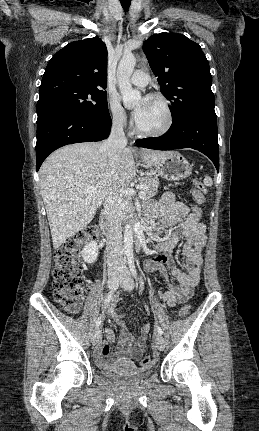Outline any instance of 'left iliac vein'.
<instances>
[{"label": "left iliac vein", "mask_w": 259, "mask_h": 431, "mask_svg": "<svg viewBox=\"0 0 259 431\" xmlns=\"http://www.w3.org/2000/svg\"><path fill=\"white\" fill-rule=\"evenodd\" d=\"M119 283L125 291H131L134 288L133 278L126 265H123L120 269ZM154 342L158 350H164L165 341L161 334L158 333L155 335Z\"/></svg>", "instance_id": "left-iliac-vein-1"}]
</instances>
